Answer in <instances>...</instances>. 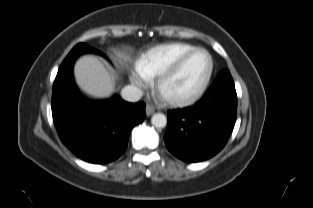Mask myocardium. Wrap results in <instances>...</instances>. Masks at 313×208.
<instances>
[{"instance_id": "myocardium-1", "label": "myocardium", "mask_w": 313, "mask_h": 208, "mask_svg": "<svg viewBox=\"0 0 313 208\" xmlns=\"http://www.w3.org/2000/svg\"><path fill=\"white\" fill-rule=\"evenodd\" d=\"M197 53H204L208 58V69L207 72L201 82V84L198 86V88L191 94L188 95H172L167 92V85L170 81H172L182 70L186 62L195 54ZM214 69V63L211 55L209 52L203 48H195L192 51L182 55L175 63L174 65L169 68L167 71L162 73L155 84V89L159 97L166 103L173 105V106H186L190 105L194 102H196L198 99L202 97V95L205 93Z\"/></svg>"}]
</instances>
